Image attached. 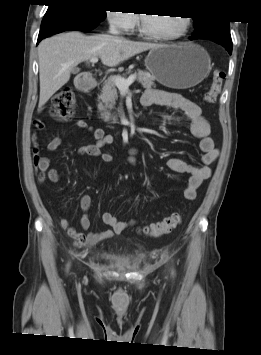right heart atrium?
Returning <instances> with one entry per match:
<instances>
[{
  "label": "right heart atrium",
  "instance_id": "1",
  "mask_svg": "<svg viewBox=\"0 0 261 355\" xmlns=\"http://www.w3.org/2000/svg\"><path fill=\"white\" fill-rule=\"evenodd\" d=\"M107 19L114 28L125 33L132 32L138 23L137 15L127 9L109 11L107 13Z\"/></svg>",
  "mask_w": 261,
  "mask_h": 355
}]
</instances>
